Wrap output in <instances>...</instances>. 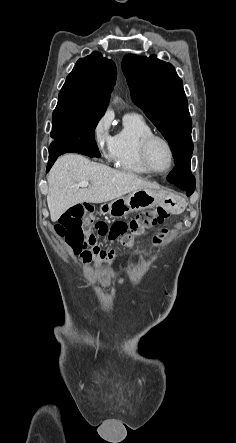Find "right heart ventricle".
I'll use <instances>...</instances> for the list:
<instances>
[{"label": "right heart ventricle", "mask_w": 236, "mask_h": 443, "mask_svg": "<svg viewBox=\"0 0 236 443\" xmlns=\"http://www.w3.org/2000/svg\"><path fill=\"white\" fill-rule=\"evenodd\" d=\"M153 130L139 114H129L123 120V125L114 136L113 164L116 168L138 175L149 174L140 157L142 139L152 134Z\"/></svg>", "instance_id": "right-heart-ventricle-1"}]
</instances>
